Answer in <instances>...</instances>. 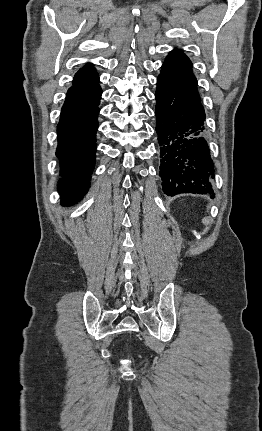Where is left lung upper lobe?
I'll return each instance as SVG.
<instances>
[{"label": "left lung upper lobe", "instance_id": "left-lung-upper-lobe-1", "mask_svg": "<svg viewBox=\"0 0 262 431\" xmlns=\"http://www.w3.org/2000/svg\"><path fill=\"white\" fill-rule=\"evenodd\" d=\"M159 77L200 99L192 64L183 52L173 51L167 56Z\"/></svg>", "mask_w": 262, "mask_h": 431}]
</instances>
